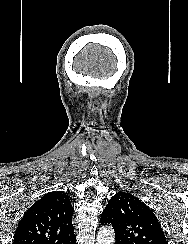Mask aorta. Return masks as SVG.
<instances>
[{
    "label": "aorta",
    "mask_w": 188,
    "mask_h": 244,
    "mask_svg": "<svg viewBox=\"0 0 188 244\" xmlns=\"http://www.w3.org/2000/svg\"><path fill=\"white\" fill-rule=\"evenodd\" d=\"M114 242V230L111 226H106L99 229L96 237V244H114Z\"/></svg>",
    "instance_id": "obj_1"
}]
</instances>
